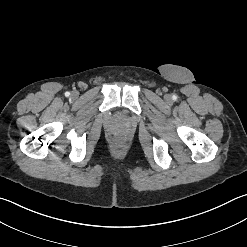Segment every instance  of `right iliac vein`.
<instances>
[{
  "label": "right iliac vein",
  "mask_w": 247,
  "mask_h": 247,
  "mask_svg": "<svg viewBox=\"0 0 247 247\" xmlns=\"http://www.w3.org/2000/svg\"><path fill=\"white\" fill-rule=\"evenodd\" d=\"M78 95H79L78 91H73V92L71 93L72 98H77Z\"/></svg>",
  "instance_id": "right-iliac-vein-1"
}]
</instances>
